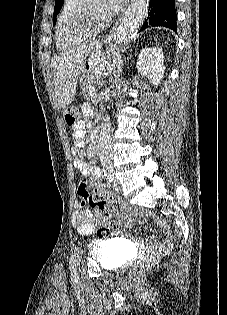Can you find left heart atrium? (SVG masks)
Segmentation results:
<instances>
[{
    "instance_id": "left-heart-atrium-1",
    "label": "left heart atrium",
    "mask_w": 227,
    "mask_h": 315,
    "mask_svg": "<svg viewBox=\"0 0 227 315\" xmlns=\"http://www.w3.org/2000/svg\"><path fill=\"white\" fill-rule=\"evenodd\" d=\"M127 4V0H105L101 7V15L105 20L111 19Z\"/></svg>"
}]
</instances>
